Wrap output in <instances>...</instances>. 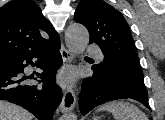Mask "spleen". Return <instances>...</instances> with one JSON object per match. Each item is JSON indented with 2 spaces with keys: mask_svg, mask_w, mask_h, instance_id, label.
<instances>
[{
  "mask_svg": "<svg viewBox=\"0 0 165 120\" xmlns=\"http://www.w3.org/2000/svg\"><path fill=\"white\" fill-rule=\"evenodd\" d=\"M98 111L112 113L115 120H148V117L138 107L124 101H112L98 108Z\"/></svg>",
  "mask_w": 165,
  "mask_h": 120,
  "instance_id": "spleen-1",
  "label": "spleen"
}]
</instances>
